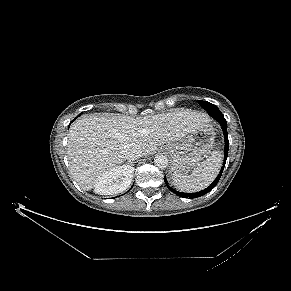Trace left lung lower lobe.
I'll return each mask as SVG.
<instances>
[{
  "label": "left lung lower lobe",
  "mask_w": 291,
  "mask_h": 291,
  "mask_svg": "<svg viewBox=\"0 0 291 291\" xmlns=\"http://www.w3.org/2000/svg\"><path fill=\"white\" fill-rule=\"evenodd\" d=\"M211 117H213L215 120H217L221 126H222V129L224 131V135H225V161H224V165L226 163V159H227V155H228V148H229V141H228V133H227V128H226V120L224 118V116L222 115V113H218V114H213ZM224 165L223 167L221 168L218 176H216V178L213 180V182L207 187L205 188L204 190H201L199 192H196V193H183V192H179L175 189H172L166 179L164 178V181H165V184L167 185V187L169 188V190L173 193H175L176 195L180 196V197H183V198H197V197H200V196H203L205 194H207L209 191H211L218 183L221 175H222V172H223V169H224Z\"/></svg>",
  "instance_id": "left-lung-lower-lobe-1"
}]
</instances>
